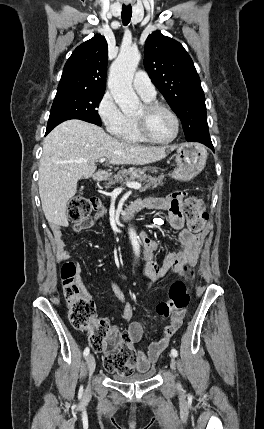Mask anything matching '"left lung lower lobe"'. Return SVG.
<instances>
[{"mask_svg":"<svg viewBox=\"0 0 264 429\" xmlns=\"http://www.w3.org/2000/svg\"><path fill=\"white\" fill-rule=\"evenodd\" d=\"M196 142L202 143L214 151L211 139H201V140H198Z\"/></svg>","mask_w":264,"mask_h":429,"instance_id":"obj_1","label":"left lung lower lobe"}]
</instances>
